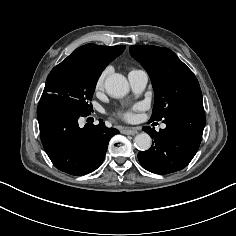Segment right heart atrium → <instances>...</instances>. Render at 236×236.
I'll return each instance as SVG.
<instances>
[{
	"mask_svg": "<svg viewBox=\"0 0 236 236\" xmlns=\"http://www.w3.org/2000/svg\"><path fill=\"white\" fill-rule=\"evenodd\" d=\"M110 72H111V67L107 66L99 73V75L97 76L96 81H95V88L96 89H100L103 86L104 81Z\"/></svg>",
	"mask_w": 236,
	"mask_h": 236,
	"instance_id": "right-heart-atrium-1",
	"label": "right heart atrium"
}]
</instances>
